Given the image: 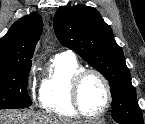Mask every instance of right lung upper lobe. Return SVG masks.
<instances>
[{
	"instance_id": "cb5924a9",
	"label": "right lung upper lobe",
	"mask_w": 145,
	"mask_h": 124,
	"mask_svg": "<svg viewBox=\"0 0 145 124\" xmlns=\"http://www.w3.org/2000/svg\"><path fill=\"white\" fill-rule=\"evenodd\" d=\"M42 28L43 21L38 13H31L15 22L0 40V67L31 61Z\"/></svg>"
}]
</instances>
